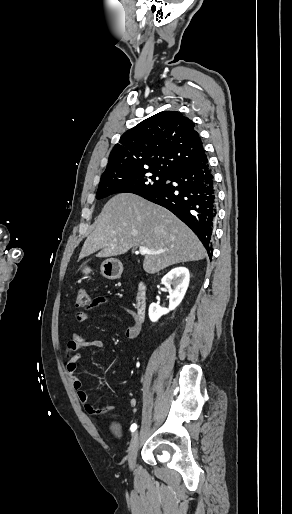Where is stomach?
<instances>
[{"mask_svg":"<svg viewBox=\"0 0 292 514\" xmlns=\"http://www.w3.org/2000/svg\"><path fill=\"white\" fill-rule=\"evenodd\" d=\"M80 270L82 274H84L85 278L91 274L92 270L89 266H80ZM101 274L107 280H117V278H121V274L123 272V266L119 260H115V258H110V260H105L101 264Z\"/></svg>","mask_w":292,"mask_h":514,"instance_id":"1","label":"stomach"}]
</instances>
